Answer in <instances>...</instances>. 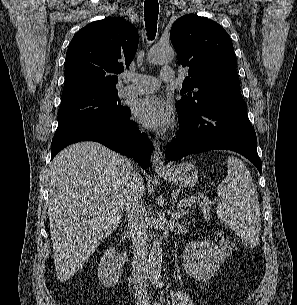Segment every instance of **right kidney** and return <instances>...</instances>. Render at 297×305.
<instances>
[{
  "label": "right kidney",
  "mask_w": 297,
  "mask_h": 305,
  "mask_svg": "<svg viewBox=\"0 0 297 305\" xmlns=\"http://www.w3.org/2000/svg\"><path fill=\"white\" fill-rule=\"evenodd\" d=\"M123 259L114 248L107 249L98 265V279L105 287H114L123 271Z\"/></svg>",
  "instance_id": "ca27d5eb"
}]
</instances>
